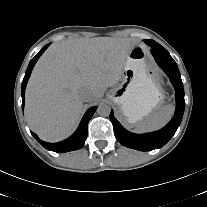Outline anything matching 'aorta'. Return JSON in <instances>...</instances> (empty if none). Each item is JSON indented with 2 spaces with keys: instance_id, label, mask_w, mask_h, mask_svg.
<instances>
[{
  "instance_id": "aorta-1",
  "label": "aorta",
  "mask_w": 207,
  "mask_h": 207,
  "mask_svg": "<svg viewBox=\"0 0 207 207\" xmlns=\"http://www.w3.org/2000/svg\"><path fill=\"white\" fill-rule=\"evenodd\" d=\"M97 113L100 115V116H103V117H107L110 115L111 113V108L109 105L107 104H101L98 106L97 108Z\"/></svg>"
}]
</instances>
